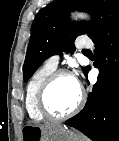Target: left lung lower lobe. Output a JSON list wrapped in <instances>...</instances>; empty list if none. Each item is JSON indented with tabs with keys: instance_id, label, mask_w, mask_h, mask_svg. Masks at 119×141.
I'll list each match as a JSON object with an SVG mask.
<instances>
[{
	"instance_id": "0a47b994",
	"label": "left lung lower lobe",
	"mask_w": 119,
	"mask_h": 141,
	"mask_svg": "<svg viewBox=\"0 0 119 141\" xmlns=\"http://www.w3.org/2000/svg\"><path fill=\"white\" fill-rule=\"evenodd\" d=\"M90 38L98 80L83 110L65 124L93 141H119V9Z\"/></svg>"
}]
</instances>
